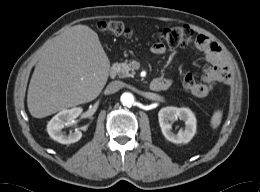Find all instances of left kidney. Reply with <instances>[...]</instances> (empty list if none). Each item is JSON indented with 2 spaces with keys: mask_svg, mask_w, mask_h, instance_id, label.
Returning <instances> with one entry per match:
<instances>
[{
  "mask_svg": "<svg viewBox=\"0 0 260 192\" xmlns=\"http://www.w3.org/2000/svg\"><path fill=\"white\" fill-rule=\"evenodd\" d=\"M178 118L185 122V128L175 134L172 131L170 121ZM158 119L164 137L170 142L187 143L196 133V118L189 108L164 107L159 111Z\"/></svg>",
  "mask_w": 260,
  "mask_h": 192,
  "instance_id": "1",
  "label": "left kidney"
}]
</instances>
